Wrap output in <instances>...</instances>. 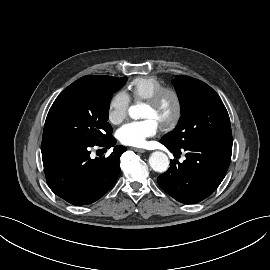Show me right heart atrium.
<instances>
[{
	"mask_svg": "<svg viewBox=\"0 0 270 270\" xmlns=\"http://www.w3.org/2000/svg\"><path fill=\"white\" fill-rule=\"evenodd\" d=\"M130 107V97L123 91L119 90L111 97L107 107V119L114 125L120 124L128 115Z\"/></svg>",
	"mask_w": 270,
	"mask_h": 270,
	"instance_id": "d8ad5b80",
	"label": "right heart atrium"
}]
</instances>
